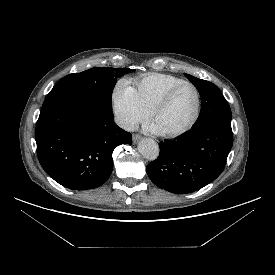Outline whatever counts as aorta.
<instances>
[{"mask_svg":"<svg viewBox=\"0 0 275 275\" xmlns=\"http://www.w3.org/2000/svg\"><path fill=\"white\" fill-rule=\"evenodd\" d=\"M138 151L144 158L153 161L159 155V146L154 140L145 138L139 143Z\"/></svg>","mask_w":275,"mask_h":275,"instance_id":"aorta-1","label":"aorta"}]
</instances>
